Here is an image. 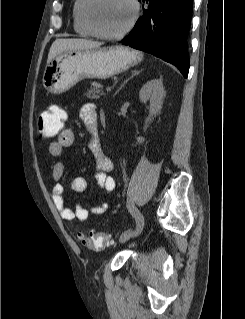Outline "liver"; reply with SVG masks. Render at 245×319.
<instances>
[{"mask_svg":"<svg viewBox=\"0 0 245 319\" xmlns=\"http://www.w3.org/2000/svg\"><path fill=\"white\" fill-rule=\"evenodd\" d=\"M101 45L102 43L100 42L87 39H56L50 48L47 64L60 53L74 50L96 49L99 48Z\"/></svg>","mask_w":245,"mask_h":319,"instance_id":"1","label":"liver"}]
</instances>
